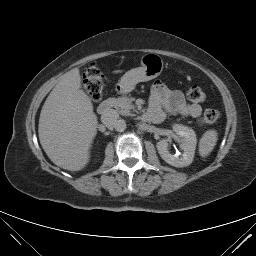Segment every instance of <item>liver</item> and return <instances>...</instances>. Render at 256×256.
Returning <instances> with one entry per match:
<instances>
[{
  "mask_svg": "<svg viewBox=\"0 0 256 256\" xmlns=\"http://www.w3.org/2000/svg\"><path fill=\"white\" fill-rule=\"evenodd\" d=\"M80 88L79 69L65 73L47 97L39 118L42 148L55 165L70 171L88 164L98 126L93 104Z\"/></svg>",
  "mask_w": 256,
  "mask_h": 256,
  "instance_id": "obj_1",
  "label": "liver"
}]
</instances>
